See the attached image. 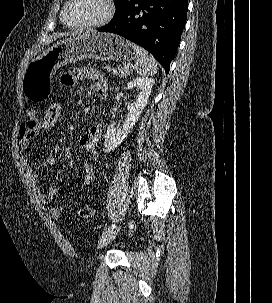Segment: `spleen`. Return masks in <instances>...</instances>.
Instances as JSON below:
<instances>
[{
	"label": "spleen",
	"instance_id": "3e777b00",
	"mask_svg": "<svg viewBox=\"0 0 272 303\" xmlns=\"http://www.w3.org/2000/svg\"><path fill=\"white\" fill-rule=\"evenodd\" d=\"M132 48L137 55L135 70L142 77L153 76L157 73L158 64L155 58L146 50L136 44H132Z\"/></svg>",
	"mask_w": 272,
	"mask_h": 303
}]
</instances>
